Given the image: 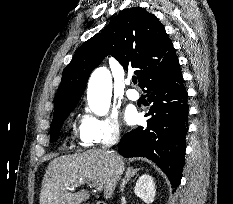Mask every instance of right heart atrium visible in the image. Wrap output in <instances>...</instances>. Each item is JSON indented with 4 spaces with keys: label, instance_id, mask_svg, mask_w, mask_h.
Segmentation results:
<instances>
[{
    "label": "right heart atrium",
    "instance_id": "1",
    "mask_svg": "<svg viewBox=\"0 0 233 204\" xmlns=\"http://www.w3.org/2000/svg\"><path fill=\"white\" fill-rule=\"evenodd\" d=\"M120 136L121 127L115 114L97 116L86 112L78 130L79 144L85 148L116 142Z\"/></svg>",
    "mask_w": 233,
    "mask_h": 204
}]
</instances>
